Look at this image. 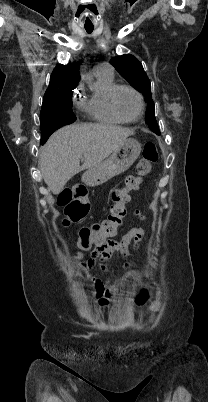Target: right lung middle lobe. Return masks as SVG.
I'll use <instances>...</instances> for the list:
<instances>
[{
  "label": "right lung middle lobe",
  "mask_w": 208,
  "mask_h": 402,
  "mask_svg": "<svg viewBox=\"0 0 208 402\" xmlns=\"http://www.w3.org/2000/svg\"><path fill=\"white\" fill-rule=\"evenodd\" d=\"M63 90L51 93L44 97L40 113V123L44 121L57 120L63 124H71L76 117L71 109V97L73 90ZM46 138L42 133L40 144H44Z\"/></svg>",
  "instance_id": "dd1d6c3e"
}]
</instances>
